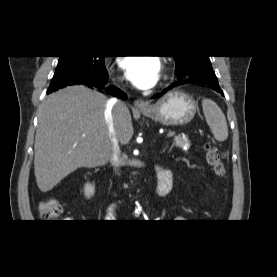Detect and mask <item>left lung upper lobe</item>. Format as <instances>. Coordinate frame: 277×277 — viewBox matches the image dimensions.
I'll use <instances>...</instances> for the list:
<instances>
[{"label": "left lung upper lobe", "mask_w": 277, "mask_h": 277, "mask_svg": "<svg viewBox=\"0 0 277 277\" xmlns=\"http://www.w3.org/2000/svg\"><path fill=\"white\" fill-rule=\"evenodd\" d=\"M176 61L175 74L179 78L195 75L215 74L209 56H173Z\"/></svg>", "instance_id": "obj_1"}]
</instances>
